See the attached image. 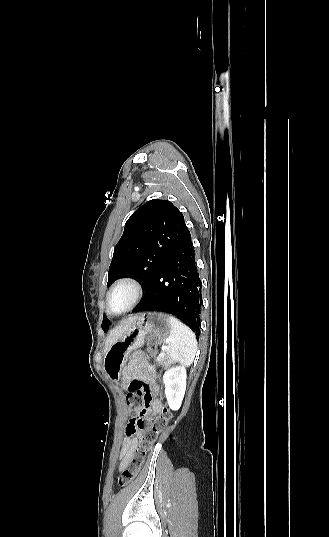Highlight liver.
Segmentation results:
<instances>
[{
	"label": "liver",
	"mask_w": 329,
	"mask_h": 537,
	"mask_svg": "<svg viewBox=\"0 0 329 537\" xmlns=\"http://www.w3.org/2000/svg\"><path fill=\"white\" fill-rule=\"evenodd\" d=\"M136 319L137 317H128L109 332L105 342V353L119 339V337L134 324Z\"/></svg>",
	"instance_id": "6515ba94"
}]
</instances>
